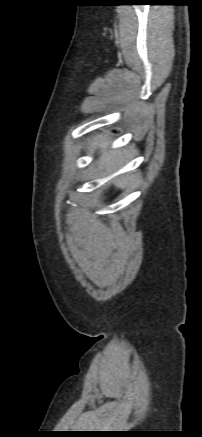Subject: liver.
<instances>
[{
	"label": "liver",
	"mask_w": 202,
	"mask_h": 437,
	"mask_svg": "<svg viewBox=\"0 0 202 437\" xmlns=\"http://www.w3.org/2000/svg\"><path fill=\"white\" fill-rule=\"evenodd\" d=\"M111 139L105 137L99 143L100 157L98 160L99 167L106 174L117 170L119 167L123 166L126 162L125 159L130 155V151L126 149H113L107 150L111 143ZM132 176H121L116 180L117 186L123 188L127 182L132 180Z\"/></svg>",
	"instance_id": "6515ba94"
}]
</instances>
